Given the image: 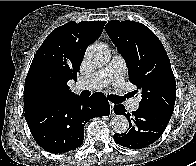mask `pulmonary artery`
<instances>
[{"label":"pulmonary artery","instance_id":"e3ab8cb5","mask_svg":"<svg viewBox=\"0 0 196 166\" xmlns=\"http://www.w3.org/2000/svg\"><path fill=\"white\" fill-rule=\"evenodd\" d=\"M126 70L125 60L122 56L117 54L105 68L80 79L76 83L75 88L77 90H96L108 84H113L114 87H118L124 80ZM129 107L131 110H137L139 107V100H131L129 102Z\"/></svg>","mask_w":196,"mask_h":166}]
</instances>
